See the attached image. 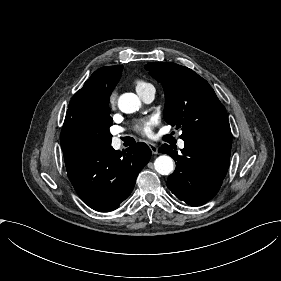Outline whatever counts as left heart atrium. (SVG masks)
<instances>
[{
  "mask_svg": "<svg viewBox=\"0 0 281 281\" xmlns=\"http://www.w3.org/2000/svg\"><path fill=\"white\" fill-rule=\"evenodd\" d=\"M159 120L157 117L151 116L142 120L137 121L135 129L147 136L152 135V129L158 124Z\"/></svg>",
  "mask_w": 281,
  "mask_h": 281,
  "instance_id": "39dd6f15",
  "label": "left heart atrium"
}]
</instances>
